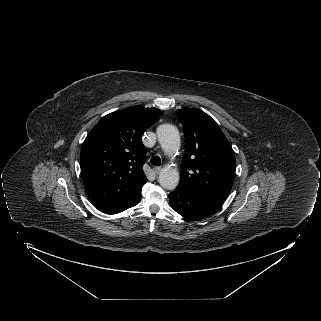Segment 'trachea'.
I'll return each mask as SVG.
<instances>
[{
    "instance_id": "trachea-1",
    "label": "trachea",
    "mask_w": 321,
    "mask_h": 321,
    "mask_svg": "<svg viewBox=\"0 0 321 321\" xmlns=\"http://www.w3.org/2000/svg\"><path fill=\"white\" fill-rule=\"evenodd\" d=\"M151 164L155 166H160L161 165V159L159 156H154L150 159Z\"/></svg>"
}]
</instances>
